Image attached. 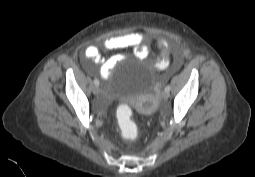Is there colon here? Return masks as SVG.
Segmentation results:
<instances>
[{
  "mask_svg": "<svg viewBox=\"0 0 255 177\" xmlns=\"http://www.w3.org/2000/svg\"><path fill=\"white\" fill-rule=\"evenodd\" d=\"M156 44L159 51L158 61L153 62L154 70H165L173 59L171 45L168 44L166 37H157ZM117 121L121 135L126 140H134L138 134V128L133 120V112L128 105H121L117 110Z\"/></svg>",
  "mask_w": 255,
  "mask_h": 177,
  "instance_id": "5ec220e1",
  "label": "colon"
}]
</instances>
